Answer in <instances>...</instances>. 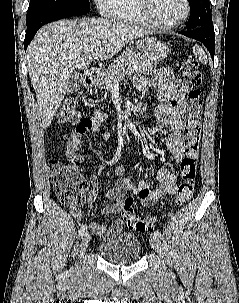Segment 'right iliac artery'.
Wrapping results in <instances>:
<instances>
[{
  "label": "right iliac artery",
  "instance_id": "82829eb1",
  "mask_svg": "<svg viewBox=\"0 0 239 303\" xmlns=\"http://www.w3.org/2000/svg\"><path fill=\"white\" fill-rule=\"evenodd\" d=\"M87 232V225H82L81 228L78 231L79 236H83Z\"/></svg>",
  "mask_w": 239,
  "mask_h": 303
}]
</instances>
